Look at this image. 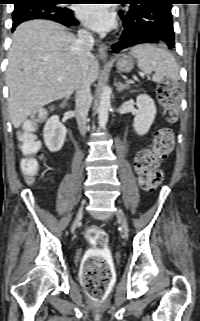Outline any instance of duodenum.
<instances>
[{
    "mask_svg": "<svg viewBox=\"0 0 200 321\" xmlns=\"http://www.w3.org/2000/svg\"><path fill=\"white\" fill-rule=\"evenodd\" d=\"M67 105H68V102L67 101H65L64 103H63V108H66L67 107Z\"/></svg>",
    "mask_w": 200,
    "mask_h": 321,
    "instance_id": "obj_1",
    "label": "duodenum"
}]
</instances>
